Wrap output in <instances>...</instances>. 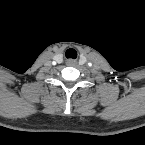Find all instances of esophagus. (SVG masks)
<instances>
[{
  "label": "esophagus",
  "instance_id": "1",
  "mask_svg": "<svg viewBox=\"0 0 145 145\" xmlns=\"http://www.w3.org/2000/svg\"><path fill=\"white\" fill-rule=\"evenodd\" d=\"M67 62H68L69 64H74V63H75L74 60H68Z\"/></svg>",
  "mask_w": 145,
  "mask_h": 145
}]
</instances>
